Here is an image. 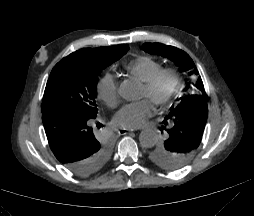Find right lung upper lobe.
I'll return each mask as SVG.
<instances>
[{"mask_svg":"<svg viewBox=\"0 0 254 216\" xmlns=\"http://www.w3.org/2000/svg\"><path fill=\"white\" fill-rule=\"evenodd\" d=\"M127 45L125 44H121V45H117V46H112V47H126Z\"/></svg>","mask_w":254,"mask_h":216,"instance_id":"obj_1","label":"right lung upper lobe"}]
</instances>
